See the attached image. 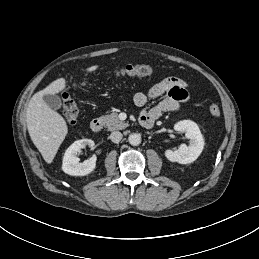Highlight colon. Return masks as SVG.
I'll return each instance as SVG.
<instances>
[{
    "label": "colon",
    "mask_w": 259,
    "mask_h": 259,
    "mask_svg": "<svg viewBox=\"0 0 259 259\" xmlns=\"http://www.w3.org/2000/svg\"><path fill=\"white\" fill-rule=\"evenodd\" d=\"M153 71V68L146 64L127 65L117 70L115 76L119 78L144 77L153 74ZM80 85H82V83H80ZM61 109L67 124L75 125L78 121L80 112L77 103L68 91H65L62 94ZM209 111L215 117H218L221 114V110L216 104L210 105Z\"/></svg>",
    "instance_id": "obj_1"
}]
</instances>
